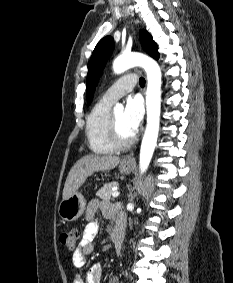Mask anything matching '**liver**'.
<instances>
[{"label": "liver", "instance_id": "1", "mask_svg": "<svg viewBox=\"0 0 233 283\" xmlns=\"http://www.w3.org/2000/svg\"><path fill=\"white\" fill-rule=\"evenodd\" d=\"M120 162L118 156L85 155L71 168L63 189V199L75 193L93 172L115 168Z\"/></svg>", "mask_w": 233, "mask_h": 283}]
</instances>
